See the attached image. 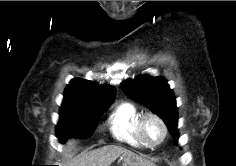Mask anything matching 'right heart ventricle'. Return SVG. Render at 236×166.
Here are the masks:
<instances>
[{"label": "right heart ventricle", "mask_w": 236, "mask_h": 166, "mask_svg": "<svg viewBox=\"0 0 236 166\" xmlns=\"http://www.w3.org/2000/svg\"><path fill=\"white\" fill-rule=\"evenodd\" d=\"M142 114V110L132 102L117 104L108 118V126L114 138L132 147H145L137 130Z\"/></svg>", "instance_id": "right-heart-ventricle-1"}]
</instances>
